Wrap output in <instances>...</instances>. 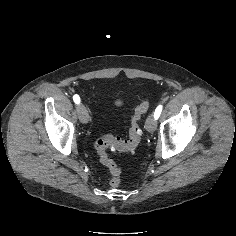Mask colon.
<instances>
[{"instance_id": "colon-1", "label": "colon", "mask_w": 236, "mask_h": 236, "mask_svg": "<svg viewBox=\"0 0 236 236\" xmlns=\"http://www.w3.org/2000/svg\"><path fill=\"white\" fill-rule=\"evenodd\" d=\"M150 107L149 101L139 104L131 117L128 137L122 139L113 135H104L96 141L95 149L100 162L110 171L112 178L110 184L118 187L121 184V168L109 158L108 149L116 150L121 153L134 152L141 143L142 130L139 126V120L148 111Z\"/></svg>"}]
</instances>
